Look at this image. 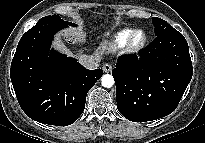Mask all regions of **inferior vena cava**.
<instances>
[{
  "instance_id": "602c4592",
  "label": "inferior vena cava",
  "mask_w": 205,
  "mask_h": 143,
  "mask_svg": "<svg viewBox=\"0 0 205 143\" xmlns=\"http://www.w3.org/2000/svg\"><path fill=\"white\" fill-rule=\"evenodd\" d=\"M79 62L87 69L94 70L99 66L100 58L94 55H81Z\"/></svg>"
}]
</instances>
